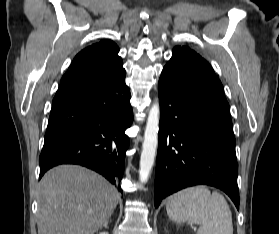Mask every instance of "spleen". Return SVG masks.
<instances>
[{"label": "spleen", "mask_w": 279, "mask_h": 234, "mask_svg": "<svg viewBox=\"0 0 279 234\" xmlns=\"http://www.w3.org/2000/svg\"><path fill=\"white\" fill-rule=\"evenodd\" d=\"M168 216L182 223L198 224L199 234H233L232 214L226 199L205 186H196L179 191L169 197Z\"/></svg>", "instance_id": "spleen-1"}]
</instances>
